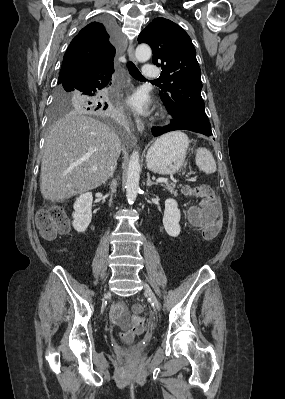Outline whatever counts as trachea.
Masks as SVG:
<instances>
[{
  "instance_id": "obj_1",
  "label": "trachea",
  "mask_w": 285,
  "mask_h": 399,
  "mask_svg": "<svg viewBox=\"0 0 285 399\" xmlns=\"http://www.w3.org/2000/svg\"><path fill=\"white\" fill-rule=\"evenodd\" d=\"M127 67H128L129 73L131 74L132 77H134L138 80H145V78L142 76V74L140 73L138 68L132 62H128ZM154 81H157V80H154Z\"/></svg>"
}]
</instances>
